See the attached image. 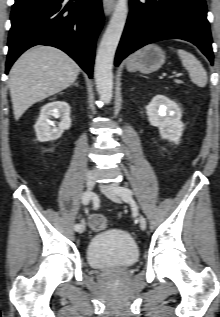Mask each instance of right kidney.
Wrapping results in <instances>:
<instances>
[{
	"mask_svg": "<svg viewBox=\"0 0 220 317\" xmlns=\"http://www.w3.org/2000/svg\"><path fill=\"white\" fill-rule=\"evenodd\" d=\"M61 118L58 127H54L51 117ZM71 127L70 106L64 101H53L44 105L34 126L36 137L41 142L54 141Z\"/></svg>",
	"mask_w": 220,
	"mask_h": 317,
	"instance_id": "right-kidney-1",
	"label": "right kidney"
}]
</instances>
